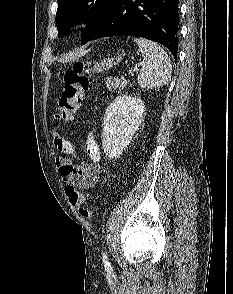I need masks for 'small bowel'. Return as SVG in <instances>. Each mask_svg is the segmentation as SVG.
<instances>
[{
	"label": "small bowel",
	"mask_w": 233,
	"mask_h": 294,
	"mask_svg": "<svg viewBox=\"0 0 233 294\" xmlns=\"http://www.w3.org/2000/svg\"><path fill=\"white\" fill-rule=\"evenodd\" d=\"M54 145L64 154H71L73 152L72 143L59 136H55ZM85 147L91 158L90 163H74L63 157H59L56 160L59 173L68 186L87 189L96 186L98 183L101 173V154L99 146L91 134H88L86 137Z\"/></svg>",
	"instance_id": "obj_1"
}]
</instances>
